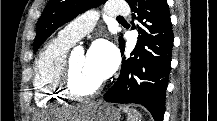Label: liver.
Instances as JSON below:
<instances>
[{"label": "liver", "instance_id": "6515ba94", "mask_svg": "<svg viewBox=\"0 0 217 121\" xmlns=\"http://www.w3.org/2000/svg\"><path fill=\"white\" fill-rule=\"evenodd\" d=\"M96 105L97 103H92L81 108H72L62 113V116L65 117V119H71V121H87L91 111Z\"/></svg>", "mask_w": 217, "mask_h": 121}]
</instances>
